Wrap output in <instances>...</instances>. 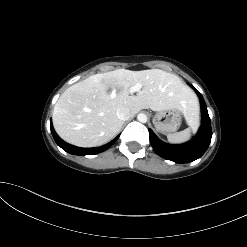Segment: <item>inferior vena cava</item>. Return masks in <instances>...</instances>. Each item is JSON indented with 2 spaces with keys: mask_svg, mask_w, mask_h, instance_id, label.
Listing matches in <instances>:
<instances>
[{
  "mask_svg": "<svg viewBox=\"0 0 247 247\" xmlns=\"http://www.w3.org/2000/svg\"><path fill=\"white\" fill-rule=\"evenodd\" d=\"M116 115L121 121H126L130 118L131 113L128 107L123 106L117 109Z\"/></svg>",
  "mask_w": 247,
  "mask_h": 247,
  "instance_id": "obj_1",
  "label": "inferior vena cava"
}]
</instances>
